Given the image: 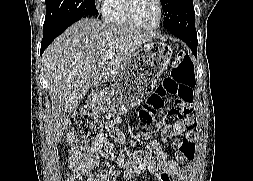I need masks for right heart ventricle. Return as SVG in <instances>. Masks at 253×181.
<instances>
[{
	"label": "right heart ventricle",
	"mask_w": 253,
	"mask_h": 181,
	"mask_svg": "<svg viewBox=\"0 0 253 181\" xmlns=\"http://www.w3.org/2000/svg\"><path fill=\"white\" fill-rule=\"evenodd\" d=\"M104 20L115 26H130L125 10L124 0H107L103 8Z\"/></svg>",
	"instance_id": "1"
}]
</instances>
